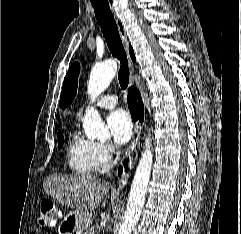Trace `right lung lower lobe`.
<instances>
[{"label":"right lung lower lobe","mask_w":241,"mask_h":234,"mask_svg":"<svg viewBox=\"0 0 241 234\" xmlns=\"http://www.w3.org/2000/svg\"><path fill=\"white\" fill-rule=\"evenodd\" d=\"M128 108L130 110L131 116L134 120L143 121L144 118V106L141 100L139 91L135 87H131L128 93ZM127 166V161L124 163ZM123 168L121 167L118 174L121 175Z\"/></svg>","instance_id":"1"}]
</instances>
